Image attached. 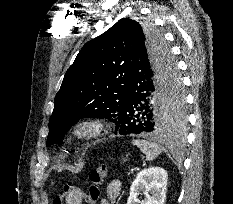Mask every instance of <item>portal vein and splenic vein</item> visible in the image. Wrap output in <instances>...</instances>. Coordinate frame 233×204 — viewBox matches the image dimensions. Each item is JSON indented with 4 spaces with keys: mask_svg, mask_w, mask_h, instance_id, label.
I'll return each mask as SVG.
<instances>
[{
    "mask_svg": "<svg viewBox=\"0 0 233 204\" xmlns=\"http://www.w3.org/2000/svg\"><path fill=\"white\" fill-rule=\"evenodd\" d=\"M134 171V169H131V172H133Z\"/></svg>",
    "mask_w": 233,
    "mask_h": 204,
    "instance_id": "obj_1",
    "label": "portal vein and splenic vein"
}]
</instances>
